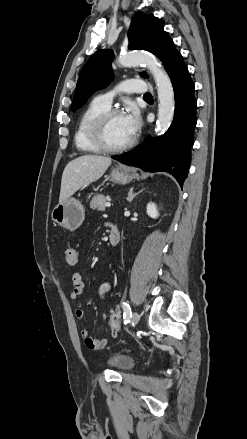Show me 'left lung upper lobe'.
<instances>
[{"instance_id": "1", "label": "left lung upper lobe", "mask_w": 247, "mask_h": 439, "mask_svg": "<svg viewBox=\"0 0 247 439\" xmlns=\"http://www.w3.org/2000/svg\"><path fill=\"white\" fill-rule=\"evenodd\" d=\"M129 49H143L156 55L164 65L168 75L182 60L175 49L174 42L164 31L162 22L153 14L135 16L128 30ZM113 53L107 50L96 51L85 63L75 89L72 110L80 108L97 89L105 87L111 80ZM144 76V74H141Z\"/></svg>"}]
</instances>
